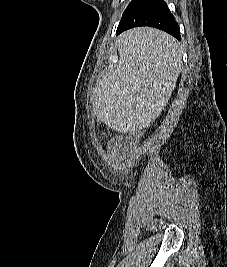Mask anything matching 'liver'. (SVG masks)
Wrapping results in <instances>:
<instances>
[{"mask_svg": "<svg viewBox=\"0 0 227 267\" xmlns=\"http://www.w3.org/2000/svg\"><path fill=\"white\" fill-rule=\"evenodd\" d=\"M119 61L97 80L93 111L117 132L149 127L167 105L176 86L182 51L171 35L140 27L121 34Z\"/></svg>", "mask_w": 227, "mask_h": 267, "instance_id": "obj_1", "label": "liver"}]
</instances>
